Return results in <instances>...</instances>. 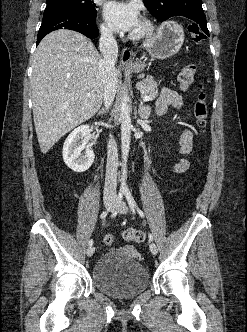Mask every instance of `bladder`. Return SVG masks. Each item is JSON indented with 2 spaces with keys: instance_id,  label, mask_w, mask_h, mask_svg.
<instances>
[{
  "instance_id": "1",
  "label": "bladder",
  "mask_w": 247,
  "mask_h": 332,
  "mask_svg": "<svg viewBox=\"0 0 247 332\" xmlns=\"http://www.w3.org/2000/svg\"><path fill=\"white\" fill-rule=\"evenodd\" d=\"M92 280L101 292L117 298H133L149 286V273L134 249L123 246L103 253L92 269Z\"/></svg>"
}]
</instances>
